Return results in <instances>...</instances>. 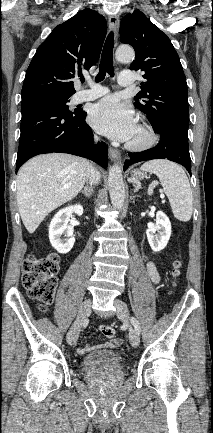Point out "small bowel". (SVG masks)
Wrapping results in <instances>:
<instances>
[{
    "mask_svg": "<svg viewBox=\"0 0 213 433\" xmlns=\"http://www.w3.org/2000/svg\"><path fill=\"white\" fill-rule=\"evenodd\" d=\"M146 267H147V272H148L150 279L154 283H158L160 281V274L158 272V269H157L155 263L153 261H148ZM121 343H122V340L119 338H116V339H113V340L107 342L104 346L106 348H115V347H118L119 345H121ZM93 348L94 347L91 345H84L82 347H79L77 349V352L79 354H85V353L91 351Z\"/></svg>",
    "mask_w": 213,
    "mask_h": 433,
    "instance_id": "c3829d8e",
    "label": "small bowel"
}]
</instances>
